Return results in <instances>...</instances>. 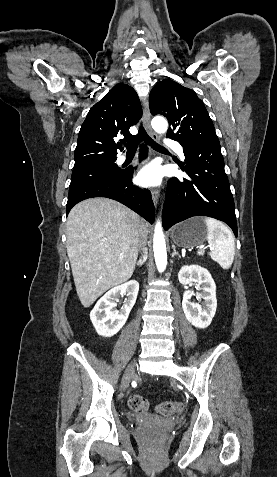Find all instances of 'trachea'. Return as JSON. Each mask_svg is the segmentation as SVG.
Masks as SVG:
<instances>
[{"label": "trachea", "instance_id": "1", "mask_svg": "<svg viewBox=\"0 0 277 477\" xmlns=\"http://www.w3.org/2000/svg\"><path fill=\"white\" fill-rule=\"evenodd\" d=\"M144 140L148 145H150L153 149L157 151H167V149L159 144H157L154 140H152L146 133L145 129L141 125L139 128V133L135 139L131 142L126 144L127 153H135L137 150L138 144Z\"/></svg>", "mask_w": 277, "mask_h": 477}]
</instances>
